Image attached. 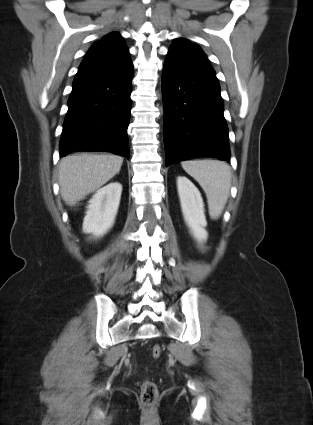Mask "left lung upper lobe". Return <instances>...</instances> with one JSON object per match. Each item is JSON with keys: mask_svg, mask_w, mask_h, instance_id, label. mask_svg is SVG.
I'll return each mask as SVG.
<instances>
[{"mask_svg": "<svg viewBox=\"0 0 313 425\" xmlns=\"http://www.w3.org/2000/svg\"><path fill=\"white\" fill-rule=\"evenodd\" d=\"M167 57L176 60L186 67L215 74L202 49L186 38L176 39L171 45Z\"/></svg>", "mask_w": 313, "mask_h": 425, "instance_id": "obj_1", "label": "left lung upper lobe"}]
</instances>
